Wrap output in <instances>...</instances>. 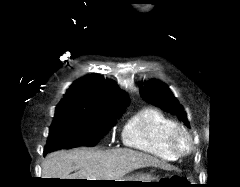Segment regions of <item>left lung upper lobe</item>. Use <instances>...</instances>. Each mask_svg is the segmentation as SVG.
<instances>
[{
	"instance_id": "left-lung-upper-lobe-1",
	"label": "left lung upper lobe",
	"mask_w": 240,
	"mask_h": 187,
	"mask_svg": "<svg viewBox=\"0 0 240 187\" xmlns=\"http://www.w3.org/2000/svg\"><path fill=\"white\" fill-rule=\"evenodd\" d=\"M141 97L148 103L160 107L166 112L173 113L189 126L184 108L176 100L170 89L164 83L153 80L140 90Z\"/></svg>"
}]
</instances>
